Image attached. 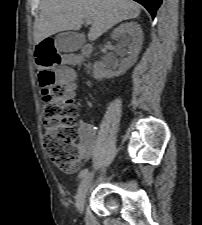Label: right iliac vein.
Wrapping results in <instances>:
<instances>
[{
  "instance_id": "obj_1",
  "label": "right iliac vein",
  "mask_w": 202,
  "mask_h": 225,
  "mask_svg": "<svg viewBox=\"0 0 202 225\" xmlns=\"http://www.w3.org/2000/svg\"><path fill=\"white\" fill-rule=\"evenodd\" d=\"M93 179L94 173L88 174L81 180L79 184L78 191L76 194V207L80 213L83 212L85 197Z\"/></svg>"
}]
</instances>
